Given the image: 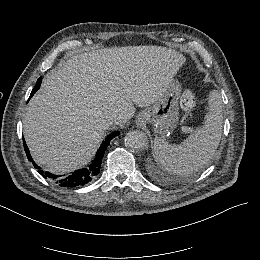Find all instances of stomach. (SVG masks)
I'll return each instance as SVG.
<instances>
[{
  "mask_svg": "<svg viewBox=\"0 0 260 260\" xmlns=\"http://www.w3.org/2000/svg\"><path fill=\"white\" fill-rule=\"evenodd\" d=\"M180 93V83L172 81L157 102L137 115L136 125L143 126L149 123L157 137L170 138L180 120Z\"/></svg>",
  "mask_w": 260,
  "mask_h": 260,
  "instance_id": "1",
  "label": "stomach"
}]
</instances>
